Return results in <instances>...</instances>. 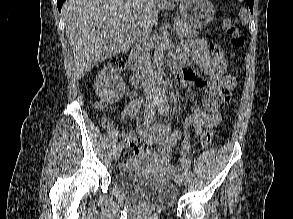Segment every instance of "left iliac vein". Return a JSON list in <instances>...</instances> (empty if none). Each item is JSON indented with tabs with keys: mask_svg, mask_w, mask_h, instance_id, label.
Returning a JSON list of instances; mask_svg holds the SVG:
<instances>
[{
	"mask_svg": "<svg viewBox=\"0 0 293 219\" xmlns=\"http://www.w3.org/2000/svg\"><path fill=\"white\" fill-rule=\"evenodd\" d=\"M169 108H170L169 105L167 103H165L159 107L158 111L161 115L167 116L169 113ZM182 181H183V183L188 182V172L186 169H183V171H182Z\"/></svg>",
	"mask_w": 293,
	"mask_h": 219,
	"instance_id": "1",
	"label": "left iliac vein"
}]
</instances>
